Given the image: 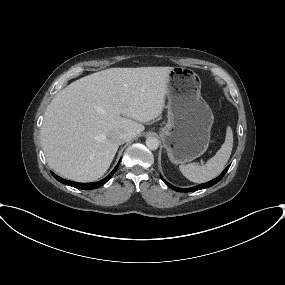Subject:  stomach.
Returning a JSON list of instances; mask_svg holds the SVG:
<instances>
[{
	"label": "stomach",
	"mask_w": 285,
	"mask_h": 285,
	"mask_svg": "<svg viewBox=\"0 0 285 285\" xmlns=\"http://www.w3.org/2000/svg\"><path fill=\"white\" fill-rule=\"evenodd\" d=\"M166 97L168 122L161 128L160 137L170 161L184 164L207 150L214 116L201 96L200 77L192 70L172 69Z\"/></svg>",
	"instance_id": "stomach-1"
}]
</instances>
